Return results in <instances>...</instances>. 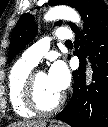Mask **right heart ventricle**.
Instances as JSON below:
<instances>
[{
    "label": "right heart ventricle",
    "instance_id": "right-heart-ventricle-1",
    "mask_svg": "<svg viewBox=\"0 0 108 127\" xmlns=\"http://www.w3.org/2000/svg\"><path fill=\"white\" fill-rule=\"evenodd\" d=\"M33 67L34 65L20 59L12 66L8 75L9 100L13 111L22 118H31L35 115L24 101L25 82Z\"/></svg>",
    "mask_w": 108,
    "mask_h": 127
}]
</instances>
